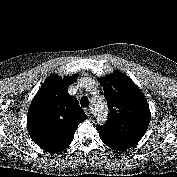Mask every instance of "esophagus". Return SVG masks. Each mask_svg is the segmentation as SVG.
I'll use <instances>...</instances> for the list:
<instances>
[{
    "label": "esophagus",
    "mask_w": 177,
    "mask_h": 177,
    "mask_svg": "<svg viewBox=\"0 0 177 177\" xmlns=\"http://www.w3.org/2000/svg\"><path fill=\"white\" fill-rule=\"evenodd\" d=\"M85 113L88 115V116H90V115H92V109L91 108H85Z\"/></svg>",
    "instance_id": "34e87169"
}]
</instances>
